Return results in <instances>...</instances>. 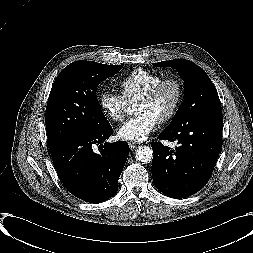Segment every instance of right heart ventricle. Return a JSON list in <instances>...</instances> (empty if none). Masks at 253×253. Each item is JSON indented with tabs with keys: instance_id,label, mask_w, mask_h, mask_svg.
<instances>
[{
	"instance_id": "e07e8e85",
	"label": "right heart ventricle",
	"mask_w": 253,
	"mask_h": 253,
	"mask_svg": "<svg viewBox=\"0 0 253 253\" xmlns=\"http://www.w3.org/2000/svg\"><path fill=\"white\" fill-rule=\"evenodd\" d=\"M163 78L161 73L135 69L119 82V87L125 100L128 103H135Z\"/></svg>"
}]
</instances>
